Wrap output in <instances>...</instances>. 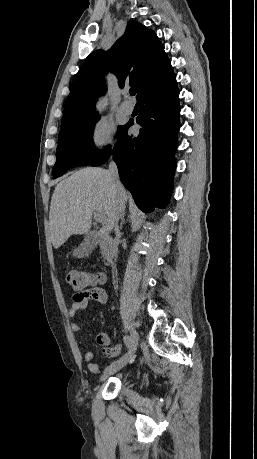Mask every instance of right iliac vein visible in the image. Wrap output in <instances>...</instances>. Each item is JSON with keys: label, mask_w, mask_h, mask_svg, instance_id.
<instances>
[{"label": "right iliac vein", "mask_w": 257, "mask_h": 459, "mask_svg": "<svg viewBox=\"0 0 257 459\" xmlns=\"http://www.w3.org/2000/svg\"><path fill=\"white\" fill-rule=\"evenodd\" d=\"M130 337H131V343L129 345L127 353L123 355L116 362H113L111 365H109L104 370L103 374L100 377V381L105 380L110 375L122 369L129 361L133 360L135 351L137 349L138 340H139V334L133 326L130 327Z\"/></svg>", "instance_id": "63e3f726"}]
</instances>
